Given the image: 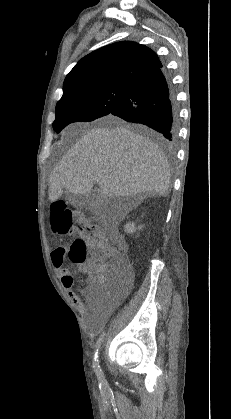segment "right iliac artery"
I'll list each match as a JSON object with an SVG mask.
<instances>
[{"mask_svg":"<svg viewBox=\"0 0 231 419\" xmlns=\"http://www.w3.org/2000/svg\"><path fill=\"white\" fill-rule=\"evenodd\" d=\"M104 336H105V332H103L101 334V336L99 337V339L97 340L96 348H95V352H94V357H93V368H94V371H95L99 380L102 379L103 374H102V370H101L100 365H99L98 351H99V348L101 346V343L103 342Z\"/></svg>","mask_w":231,"mask_h":419,"instance_id":"82829eb1","label":"right iliac artery"}]
</instances>
